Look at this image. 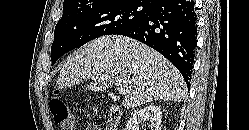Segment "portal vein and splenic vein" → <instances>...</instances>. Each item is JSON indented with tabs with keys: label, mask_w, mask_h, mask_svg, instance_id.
<instances>
[{
	"label": "portal vein and splenic vein",
	"mask_w": 249,
	"mask_h": 130,
	"mask_svg": "<svg viewBox=\"0 0 249 130\" xmlns=\"http://www.w3.org/2000/svg\"><path fill=\"white\" fill-rule=\"evenodd\" d=\"M118 91H119V94H125V92H126V87H124V86H121V87H119V89H118Z\"/></svg>",
	"instance_id": "18ae733b"
}]
</instances>
